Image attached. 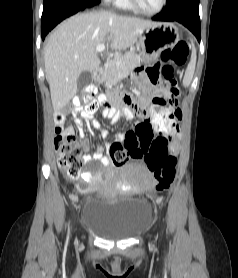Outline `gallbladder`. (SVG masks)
I'll return each instance as SVG.
<instances>
[{
	"mask_svg": "<svg viewBox=\"0 0 238 278\" xmlns=\"http://www.w3.org/2000/svg\"><path fill=\"white\" fill-rule=\"evenodd\" d=\"M93 81L92 73L90 71H83L77 80V87L82 88L89 85Z\"/></svg>",
	"mask_w": 238,
	"mask_h": 278,
	"instance_id": "1",
	"label": "gallbladder"
}]
</instances>
